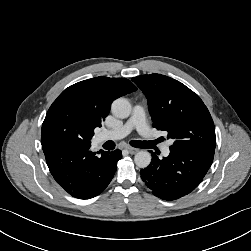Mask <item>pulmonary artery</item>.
Here are the masks:
<instances>
[{
	"label": "pulmonary artery",
	"instance_id": "pulmonary-artery-1",
	"mask_svg": "<svg viewBox=\"0 0 251 251\" xmlns=\"http://www.w3.org/2000/svg\"><path fill=\"white\" fill-rule=\"evenodd\" d=\"M133 129H136L147 141L151 140L152 131L146 122L144 109L140 105L134 107L131 117L125 123L116 128L103 131L99 135V139H121L127 136ZM170 144L171 143L168 142L162 146V153L164 156L170 154Z\"/></svg>",
	"mask_w": 251,
	"mask_h": 251
}]
</instances>
